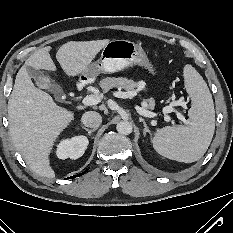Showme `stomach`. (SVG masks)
Wrapping results in <instances>:
<instances>
[{
  "label": "stomach",
  "instance_id": "stomach-1",
  "mask_svg": "<svg viewBox=\"0 0 233 233\" xmlns=\"http://www.w3.org/2000/svg\"><path fill=\"white\" fill-rule=\"evenodd\" d=\"M133 65L144 67L154 74V68L139 44L125 39L112 40L102 48L100 58L82 76L94 80L101 73H115Z\"/></svg>",
  "mask_w": 233,
  "mask_h": 233
}]
</instances>
